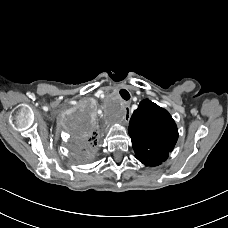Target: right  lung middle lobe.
Masks as SVG:
<instances>
[{
    "instance_id": "dd1d6c3e",
    "label": "right lung middle lobe",
    "mask_w": 228,
    "mask_h": 228,
    "mask_svg": "<svg viewBox=\"0 0 228 228\" xmlns=\"http://www.w3.org/2000/svg\"><path fill=\"white\" fill-rule=\"evenodd\" d=\"M81 124H78L75 128H72L71 132L74 136L75 142L78 145H87L88 136L90 133V127L93 125L94 121L90 118L81 117L78 120Z\"/></svg>"
}]
</instances>
